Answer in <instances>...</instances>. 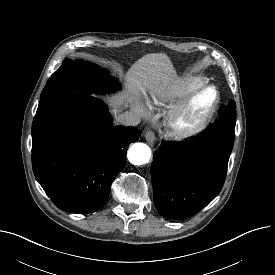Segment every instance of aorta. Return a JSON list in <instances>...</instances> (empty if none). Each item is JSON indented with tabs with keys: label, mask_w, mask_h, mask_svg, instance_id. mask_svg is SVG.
<instances>
[{
	"label": "aorta",
	"mask_w": 275,
	"mask_h": 275,
	"mask_svg": "<svg viewBox=\"0 0 275 275\" xmlns=\"http://www.w3.org/2000/svg\"><path fill=\"white\" fill-rule=\"evenodd\" d=\"M127 157L133 165H143L149 162L151 149L144 143H135L129 148Z\"/></svg>",
	"instance_id": "762f6f07"
}]
</instances>
